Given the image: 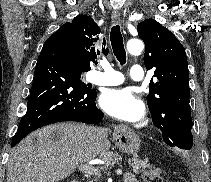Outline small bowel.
I'll return each mask as SVG.
<instances>
[{"label": "small bowel", "instance_id": "obj_1", "mask_svg": "<svg viewBox=\"0 0 211 182\" xmlns=\"http://www.w3.org/2000/svg\"><path fill=\"white\" fill-rule=\"evenodd\" d=\"M124 182H138L137 179L131 173H126L124 177Z\"/></svg>", "mask_w": 211, "mask_h": 182}]
</instances>
